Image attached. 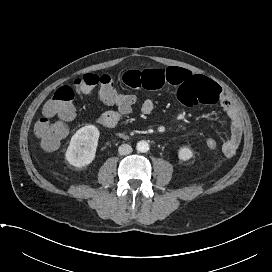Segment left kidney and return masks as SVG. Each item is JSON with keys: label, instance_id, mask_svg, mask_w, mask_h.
<instances>
[{"label": "left kidney", "instance_id": "1", "mask_svg": "<svg viewBox=\"0 0 272 272\" xmlns=\"http://www.w3.org/2000/svg\"><path fill=\"white\" fill-rule=\"evenodd\" d=\"M178 157L180 160L187 161L193 157V152L190 148L182 147L178 151Z\"/></svg>", "mask_w": 272, "mask_h": 272}]
</instances>
